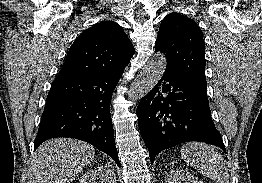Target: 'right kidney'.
<instances>
[{"instance_id":"1","label":"right kidney","mask_w":262,"mask_h":183,"mask_svg":"<svg viewBox=\"0 0 262 183\" xmlns=\"http://www.w3.org/2000/svg\"><path fill=\"white\" fill-rule=\"evenodd\" d=\"M116 183V178L113 169L105 164L94 169L88 170L82 177L80 183Z\"/></svg>"}]
</instances>
